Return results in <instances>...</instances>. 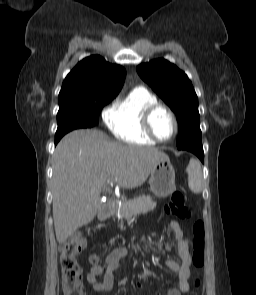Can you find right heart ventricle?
<instances>
[{
    "label": "right heart ventricle",
    "instance_id": "obj_1",
    "mask_svg": "<svg viewBox=\"0 0 256 295\" xmlns=\"http://www.w3.org/2000/svg\"><path fill=\"white\" fill-rule=\"evenodd\" d=\"M157 98L144 87L132 89L123 99L117 101L106 113V124L119 140L135 145H154L143 128L145 109L157 103Z\"/></svg>",
    "mask_w": 256,
    "mask_h": 295
}]
</instances>
